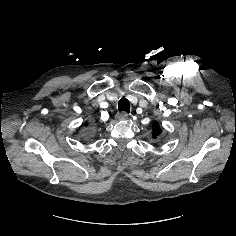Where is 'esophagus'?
Listing matches in <instances>:
<instances>
[{
    "label": "esophagus",
    "instance_id": "esophagus-1",
    "mask_svg": "<svg viewBox=\"0 0 236 236\" xmlns=\"http://www.w3.org/2000/svg\"><path fill=\"white\" fill-rule=\"evenodd\" d=\"M128 113H126V112H121V113H119L118 114V118L120 119V120H125V119H127L128 118Z\"/></svg>",
    "mask_w": 236,
    "mask_h": 236
}]
</instances>
